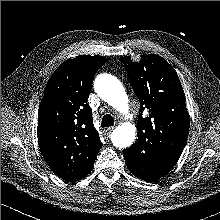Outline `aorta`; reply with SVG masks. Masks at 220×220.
Instances as JSON below:
<instances>
[{
    "instance_id": "aorta-1",
    "label": "aorta",
    "mask_w": 220,
    "mask_h": 220,
    "mask_svg": "<svg viewBox=\"0 0 220 220\" xmlns=\"http://www.w3.org/2000/svg\"><path fill=\"white\" fill-rule=\"evenodd\" d=\"M94 87L102 100L118 112L127 114L129 100L123 85L116 77L101 74L96 78ZM135 136L136 126L131 122H124L113 130L111 141L117 148H127L133 144Z\"/></svg>"
}]
</instances>
